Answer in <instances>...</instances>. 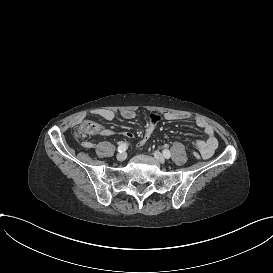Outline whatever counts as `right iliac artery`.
<instances>
[{
	"label": "right iliac artery",
	"instance_id": "right-iliac-artery-1",
	"mask_svg": "<svg viewBox=\"0 0 273 273\" xmlns=\"http://www.w3.org/2000/svg\"><path fill=\"white\" fill-rule=\"evenodd\" d=\"M128 148V145L126 143H120L118 147V152L122 153L125 152Z\"/></svg>",
	"mask_w": 273,
	"mask_h": 273
}]
</instances>
